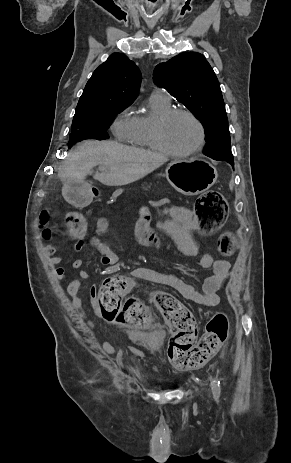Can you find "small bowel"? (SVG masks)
Segmentation results:
<instances>
[{
  "instance_id": "small-bowel-1",
  "label": "small bowel",
  "mask_w": 291,
  "mask_h": 463,
  "mask_svg": "<svg viewBox=\"0 0 291 463\" xmlns=\"http://www.w3.org/2000/svg\"><path fill=\"white\" fill-rule=\"evenodd\" d=\"M172 217V216H164ZM151 218L142 217L136 228L137 238L141 246L150 244H161L162 248L166 247L163 239H150L158 235L159 229L170 235L179 250L188 256L198 254V246L193 238V230L189 226H166L165 224H157L158 228H150ZM109 230V222L106 218H99L96 222V227L93 236L90 239L91 246L101 256L103 265L116 267L120 264V259L117 254L102 240V235ZM44 237V236H43ZM84 248L83 235L78 237V240L73 245L75 252L81 251ZM58 247L56 245H47L45 248L49 256V263L53 267V276L57 279H65L68 277V271L61 266L64 258L54 255ZM200 264L204 269L211 270L212 274L205 278L202 286L198 289L195 285L183 281L177 276L165 273L156 272L148 268H136L131 271V275L139 280L160 284L175 289L184 298L206 306L215 307L220 303L219 291L222 290L230 276V264L224 260L216 259L211 253L204 252L200 257ZM71 267L78 273V278L72 279L66 287L67 294L71 298L73 306L78 311L79 315L86 321L88 327L92 328L93 324L88 319L87 313L83 308L82 300L79 292L83 287V280L90 278V272L84 268L83 261L75 258L71 263ZM97 292L93 287L91 293L92 304H96ZM103 349L109 354L116 353V350L108 343H103Z\"/></svg>"
}]
</instances>
